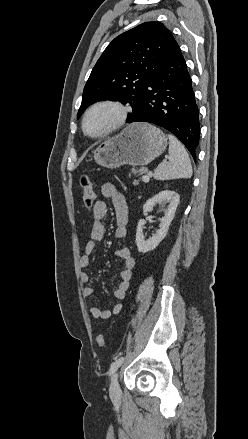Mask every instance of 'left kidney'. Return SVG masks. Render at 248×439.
<instances>
[{"label": "left kidney", "instance_id": "obj_1", "mask_svg": "<svg viewBox=\"0 0 248 439\" xmlns=\"http://www.w3.org/2000/svg\"><path fill=\"white\" fill-rule=\"evenodd\" d=\"M179 199L180 197L178 193L174 191L164 190L146 201L143 206V211L145 213L151 212L153 210V207L158 203H168V207L165 210L164 216L160 219L159 229L156 231L155 234L152 235V237L147 240L145 239L143 234V228L146 221L144 219L139 220L136 232V245L139 252L146 253L154 250L165 238L169 226L175 216V212L179 204Z\"/></svg>", "mask_w": 248, "mask_h": 439}]
</instances>
